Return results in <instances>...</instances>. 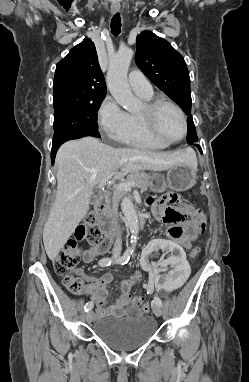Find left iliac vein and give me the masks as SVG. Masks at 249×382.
Masks as SVG:
<instances>
[{"instance_id":"obj_1","label":"left iliac vein","mask_w":249,"mask_h":382,"mask_svg":"<svg viewBox=\"0 0 249 382\" xmlns=\"http://www.w3.org/2000/svg\"><path fill=\"white\" fill-rule=\"evenodd\" d=\"M152 310H153V313L156 315V316H161L162 315V310H161V307L157 304H153L152 305Z\"/></svg>"}]
</instances>
